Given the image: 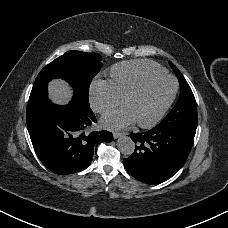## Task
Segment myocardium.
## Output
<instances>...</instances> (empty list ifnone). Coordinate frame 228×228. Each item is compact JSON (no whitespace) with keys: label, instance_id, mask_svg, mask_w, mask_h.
<instances>
[{"label":"myocardium","instance_id":"1","mask_svg":"<svg viewBox=\"0 0 228 228\" xmlns=\"http://www.w3.org/2000/svg\"><path fill=\"white\" fill-rule=\"evenodd\" d=\"M161 78H167V79H170L172 81V89H171L170 95L167 98V100L165 101V103L163 104V106L161 107V109L159 110V112L155 115V117L151 121L146 122V123H142V122H139V121L137 122L138 126H140L141 128L149 129V128H152V127L156 126L160 122V120L165 115L166 111L170 107V105H171V103H172V101H173V99L175 97L177 86H178L176 79L173 76H171L169 74H166V73L156 74V75H153L151 77H148V78L144 79L138 86H136L126 96V98L124 100V103L128 104V102L130 100H132L133 98L138 96L140 93H142L143 90L149 84H151L152 82H154V81H156L158 79H161Z\"/></svg>","mask_w":228,"mask_h":228}]
</instances>
